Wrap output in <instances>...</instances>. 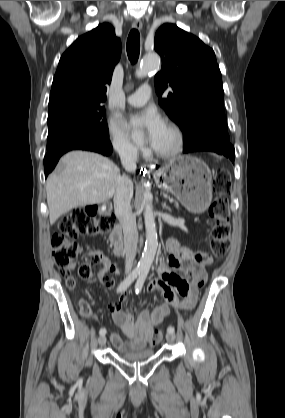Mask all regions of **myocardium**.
Returning <instances> with one entry per match:
<instances>
[{
    "label": "myocardium",
    "mask_w": 285,
    "mask_h": 418,
    "mask_svg": "<svg viewBox=\"0 0 285 418\" xmlns=\"http://www.w3.org/2000/svg\"><path fill=\"white\" fill-rule=\"evenodd\" d=\"M175 136V143L169 150H160L154 148V154L163 159L173 158L178 155L184 146V134L182 129L175 123L169 122L166 126Z\"/></svg>",
    "instance_id": "obj_1"
}]
</instances>
